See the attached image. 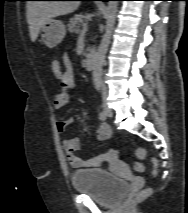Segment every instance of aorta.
<instances>
[{
	"mask_svg": "<svg viewBox=\"0 0 188 213\" xmlns=\"http://www.w3.org/2000/svg\"><path fill=\"white\" fill-rule=\"evenodd\" d=\"M118 11V1H109L107 5V17H106V27L105 33L102 37L99 48L95 54L93 60V83L96 90H100L103 85L102 75H103V64L105 61L106 53L111 39V34L116 20V15Z\"/></svg>",
	"mask_w": 188,
	"mask_h": 213,
	"instance_id": "1",
	"label": "aorta"
}]
</instances>
